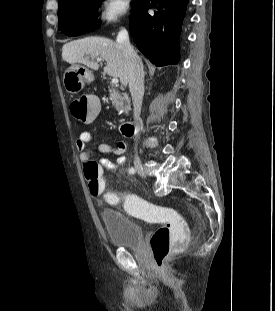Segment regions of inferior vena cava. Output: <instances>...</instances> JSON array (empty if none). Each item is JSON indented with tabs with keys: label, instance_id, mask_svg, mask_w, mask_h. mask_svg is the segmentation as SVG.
Segmentation results:
<instances>
[{
	"label": "inferior vena cava",
	"instance_id": "1",
	"mask_svg": "<svg viewBox=\"0 0 275 311\" xmlns=\"http://www.w3.org/2000/svg\"><path fill=\"white\" fill-rule=\"evenodd\" d=\"M116 43L128 59V83L132 96L134 119L140 118L144 94V69L141 58L134 51L129 42L126 29H121L117 35Z\"/></svg>",
	"mask_w": 275,
	"mask_h": 311
}]
</instances>
